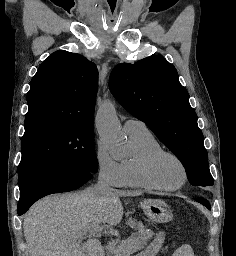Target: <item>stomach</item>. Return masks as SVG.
Returning <instances> with one entry per match:
<instances>
[{
  "instance_id": "0dacf381",
  "label": "stomach",
  "mask_w": 236,
  "mask_h": 256,
  "mask_svg": "<svg viewBox=\"0 0 236 256\" xmlns=\"http://www.w3.org/2000/svg\"><path fill=\"white\" fill-rule=\"evenodd\" d=\"M140 204L145 215L154 223H166L173 217L172 211L162 200L145 199ZM163 241L164 233L160 232L140 255L155 256L159 252Z\"/></svg>"
}]
</instances>
